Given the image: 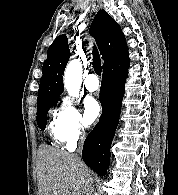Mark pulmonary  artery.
<instances>
[{"label": "pulmonary artery", "mask_w": 178, "mask_h": 195, "mask_svg": "<svg viewBox=\"0 0 178 195\" xmlns=\"http://www.w3.org/2000/svg\"><path fill=\"white\" fill-rule=\"evenodd\" d=\"M100 83L96 74L91 73L85 79V87L88 91L94 92L99 89Z\"/></svg>", "instance_id": "e3ab8cb5"}]
</instances>
